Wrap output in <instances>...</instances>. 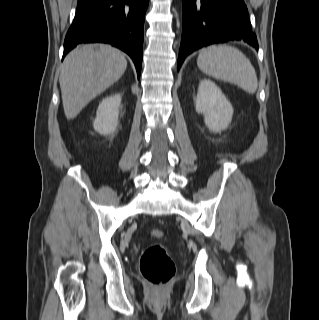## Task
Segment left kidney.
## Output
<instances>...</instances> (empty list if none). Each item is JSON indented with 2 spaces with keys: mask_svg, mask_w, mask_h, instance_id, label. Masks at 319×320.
<instances>
[{
  "mask_svg": "<svg viewBox=\"0 0 319 320\" xmlns=\"http://www.w3.org/2000/svg\"><path fill=\"white\" fill-rule=\"evenodd\" d=\"M195 109L205 117V125L214 133L226 129L231 123L234 113L231 103L221 89L211 80L200 81Z\"/></svg>",
  "mask_w": 319,
  "mask_h": 320,
  "instance_id": "1",
  "label": "left kidney"
}]
</instances>
